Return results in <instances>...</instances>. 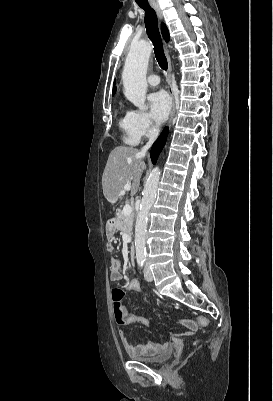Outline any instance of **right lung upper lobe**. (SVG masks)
<instances>
[{
	"label": "right lung upper lobe",
	"mask_w": 273,
	"mask_h": 401,
	"mask_svg": "<svg viewBox=\"0 0 273 401\" xmlns=\"http://www.w3.org/2000/svg\"><path fill=\"white\" fill-rule=\"evenodd\" d=\"M161 31H162V35H163L164 39L166 41H168L169 40V32H168L167 27L164 24L161 25ZM114 92H115V89H113V94H114Z\"/></svg>",
	"instance_id": "1"
}]
</instances>
